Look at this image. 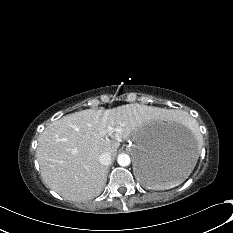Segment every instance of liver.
Segmentation results:
<instances>
[{
	"label": "liver",
	"mask_w": 233,
	"mask_h": 233,
	"mask_svg": "<svg viewBox=\"0 0 233 233\" xmlns=\"http://www.w3.org/2000/svg\"><path fill=\"white\" fill-rule=\"evenodd\" d=\"M177 117V111L138 103L63 116L49 124L38 139L36 155L43 181L67 200L92 199L106 184L108 170L99 161L102 153L114 157L120 141L145 124ZM108 127L114 131L103 135Z\"/></svg>",
	"instance_id": "obj_1"
}]
</instances>
